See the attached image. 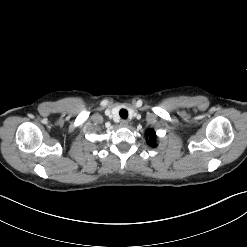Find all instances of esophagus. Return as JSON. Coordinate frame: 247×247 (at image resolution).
<instances>
[{
    "label": "esophagus",
    "mask_w": 247,
    "mask_h": 247,
    "mask_svg": "<svg viewBox=\"0 0 247 247\" xmlns=\"http://www.w3.org/2000/svg\"><path fill=\"white\" fill-rule=\"evenodd\" d=\"M121 126L127 127L128 126V121L127 120H122L121 121Z\"/></svg>",
    "instance_id": "34e87169"
}]
</instances>
